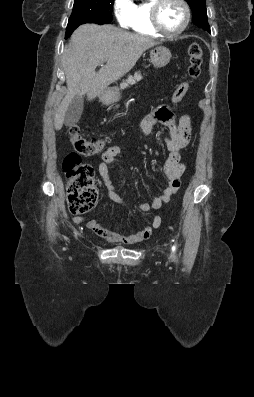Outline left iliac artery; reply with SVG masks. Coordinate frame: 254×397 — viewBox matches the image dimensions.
<instances>
[{"label": "left iliac artery", "instance_id": "left-iliac-artery-1", "mask_svg": "<svg viewBox=\"0 0 254 397\" xmlns=\"http://www.w3.org/2000/svg\"><path fill=\"white\" fill-rule=\"evenodd\" d=\"M172 249H173V251H174V250H175V247H173Z\"/></svg>", "mask_w": 254, "mask_h": 397}]
</instances>
